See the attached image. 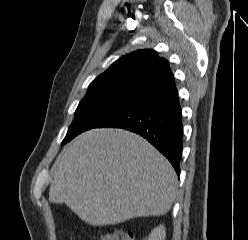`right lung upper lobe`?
<instances>
[{"label": "right lung upper lobe", "instance_id": "1", "mask_svg": "<svg viewBox=\"0 0 248 240\" xmlns=\"http://www.w3.org/2000/svg\"><path fill=\"white\" fill-rule=\"evenodd\" d=\"M174 88L168 61L155 51L145 49L119 58L89 85L88 90H111L140 100Z\"/></svg>", "mask_w": 248, "mask_h": 240}]
</instances>
